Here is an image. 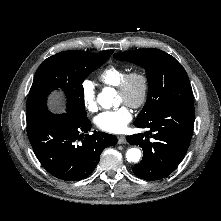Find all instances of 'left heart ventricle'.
Listing matches in <instances>:
<instances>
[{
	"label": "left heart ventricle",
	"instance_id": "1",
	"mask_svg": "<svg viewBox=\"0 0 221 221\" xmlns=\"http://www.w3.org/2000/svg\"><path fill=\"white\" fill-rule=\"evenodd\" d=\"M139 91H140V85H139L138 82H135L131 87L129 97L131 99L136 98L139 94ZM118 98H119L120 102H125L126 101V98L124 96H122L121 94H119V93H118Z\"/></svg>",
	"mask_w": 221,
	"mask_h": 221
}]
</instances>
